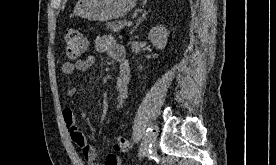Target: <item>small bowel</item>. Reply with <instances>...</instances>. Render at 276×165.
Listing matches in <instances>:
<instances>
[{"mask_svg":"<svg viewBox=\"0 0 276 165\" xmlns=\"http://www.w3.org/2000/svg\"><path fill=\"white\" fill-rule=\"evenodd\" d=\"M95 47L99 52L107 53L119 65V73L116 80L117 105L119 109L122 107L124 100L128 97L129 81H130V65L126 58V50L123 45L118 43L111 35H100L95 40ZM96 59L93 56H88L83 59H78L74 62L66 61L61 65V72L64 75H71L74 72H85L93 67ZM76 92V87L68 90L69 97ZM63 120L71 140L81 150L83 158L87 165H100L96 161L94 149L89 145L83 133L79 130L76 118L70 108H64L62 111ZM106 165H120V159L117 155L111 154L106 158Z\"/></svg>","mask_w":276,"mask_h":165,"instance_id":"1","label":"small bowel"}]
</instances>
